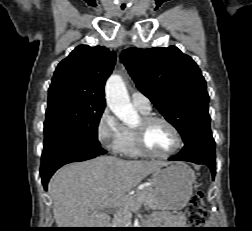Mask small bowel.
I'll use <instances>...</instances> for the list:
<instances>
[{
	"instance_id": "small-bowel-1",
	"label": "small bowel",
	"mask_w": 252,
	"mask_h": 231,
	"mask_svg": "<svg viewBox=\"0 0 252 231\" xmlns=\"http://www.w3.org/2000/svg\"><path fill=\"white\" fill-rule=\"evenodd\" d=\"M174 220H175L177 226L180 227V228H179V229H180L179 231H185V230H184L185 228H183V227H185L183 215H182V214H177V215H175Z\"/></svg>"
}]
</instances>
